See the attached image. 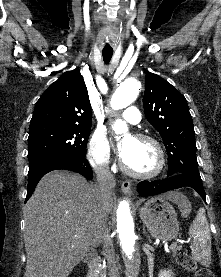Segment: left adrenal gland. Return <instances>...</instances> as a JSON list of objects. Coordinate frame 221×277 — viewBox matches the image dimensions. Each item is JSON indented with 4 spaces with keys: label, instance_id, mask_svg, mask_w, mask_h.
Here are the masks:
<instances>
[{
    "label": "left adrenal gland",
    "instance_id": "obj_1",
    "mask_svg": "<svg viewBox=\"0 0 221 277\" xmlns=\"http://www.w3.org/2000/svg\"><path fill=\"white\" fill-rule=\"evenodd\" d=\"M143 231H144V233H145V229H143ZM149 238V240H150V237H148Z\"/></svg>",
    "mask_w": 221,
    "mask_h": 277
}]
</instances>
